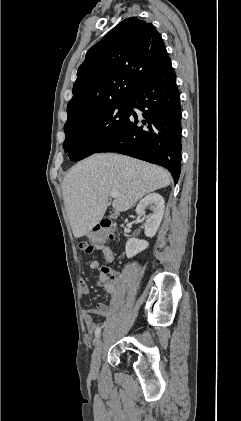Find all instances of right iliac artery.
Segmentation results:
<instances>
[{
    "label": "right iliac artery",
    "mask_w": 241,
    "mask_h": 421,
    "mask_svg": "<svg viewBox=\"0 0 241 421\" xmlns=\"http://www.w3.org/2000/svg\"><path fill=\"white\" fill-rule=\"evenodd\" d=\"M101 335V328H97L96 332H95V341H98Z\"/></svg>",
    "instance_id": "82829eb1"
}]
</instances>
